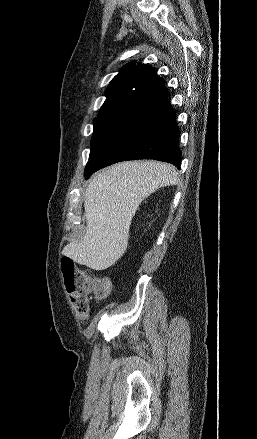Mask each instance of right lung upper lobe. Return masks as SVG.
<instances>
[{
    "label": "right lung upper lobe",
    "instance_id": "cb5924a9",
    "mask_svg": "<svg viewBox=\"0 0 257 439\" xmlns=\"http://www.w3.org/2000/svg\"><path fill=\"white\" fill-rule=\"evenodd\" d=\"M169 96L163 79L154 68L130 62L119 71L106 89V100L98 117L131 119Z\"/></svg>",
    "mask_w": 257,
    "mask_h": 439
}]
</instances>
